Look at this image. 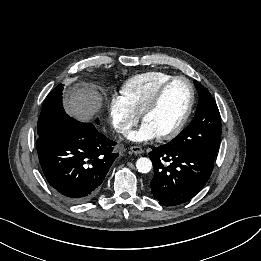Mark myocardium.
<instances>
[{"label":"myocardium","mask_w":261,"mask_h":261,"mask_svg":"<svg viewBox=\"0 0 261 261\" xmlns=\"http://www.w3.org/2000/svg\"><path fill=\"white\" fill-rule=\"evenodd\" d=\"M177 81H184L187 83V85L189 87L190 98H189L188 107H187L186 112L183 115L181 121L179 122V124L170 132L158 136L159 140H171V139L175 138L176 136H178L183 131V129L186 127V125L191 117V114L193 112V108H194V104H195V97H196L195 88H194V85L191 82V80L185 76H174L171 79H169L159 88V90L155 94L154 98L151 100V102L148 104V106L144 109V111L141 114V120H142V122H144L145 119L150 114H152L154 111H156L159 108L167 89L173 83H175Z\"/></svg>","instance_id":"obj_1"}]
</instances>
